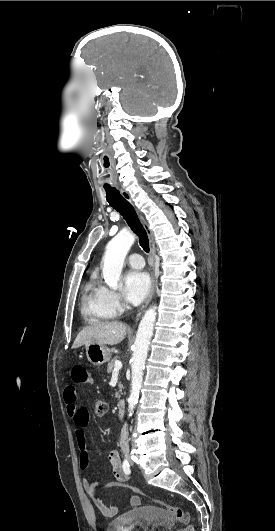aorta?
Returning a JSON list of instances; mask_svg holds the SVG:
<instances>
[{
    "mask_svg": "<svg viewBox=\"0 0 275 531\" xmlns=\"http://www.w3.org/2000/svg\"><path fill=\"white\" fill-rule=\"evenodd\" d=\"M135 235L123 229L114 239L109 241L106 245L105 255H103V279L111 289H119L120 275L123 269V263L127 253H129L132 245L135 243ZM156 321V309L150 307L145 311L142 321L138 327L134 351L131 359L132 367V381L131 391L128 399V413L132 417L135 405L138 403L141 385L143 383V375L145 369V361L153 335V329Z\"/></svg>",
    "mask_w": 275,
    "mask_h": 531,
    "instance_id": "762f6f07",
    "label": "aorta"
}]
</instances>
